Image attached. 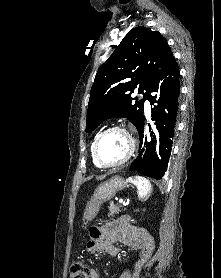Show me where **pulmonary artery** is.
<instances>
[{"label": "pulmonary artery", "instance_id": "obj_1", "mask_svg": "<svg viewBox=\"0 0 221 278\" xmlns=\"http://www.w3.org/2000/svg\"><path fill=\"white\" fill-rule=\"evenodd\" d=\"M145 111L147 114L150 112V103L148 100L145 101Z\"/></svg>", "mask_w": 221, "mask_h": 278}]
</instances>
